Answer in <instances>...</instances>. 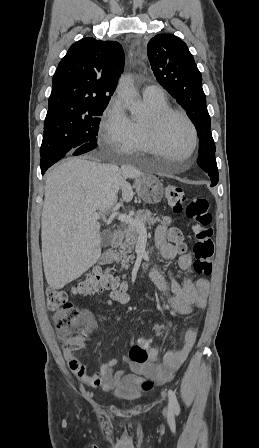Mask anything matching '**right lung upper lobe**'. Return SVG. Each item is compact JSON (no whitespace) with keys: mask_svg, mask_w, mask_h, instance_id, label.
<instances>
[{"mask_svg":"<svg viewBox=\"0 0 259 448\" xmlns=\"http://www.w3.org/2000/svg\"><path fill=\"white\" fill-rule=\"evenodd\" d=\"M123 68L124 53L118 42L91 37L75 42L53 77L48 113L107 106Z\"/></svg>","mask_w":259,"mask_h":448,"instance_id":"1","label":"right lung upper lobe"}]
</instances>
